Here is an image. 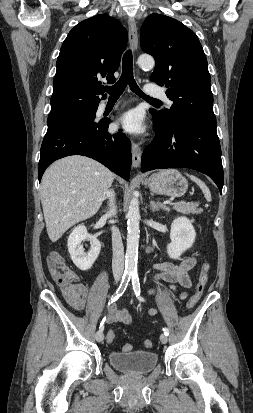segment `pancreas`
Returning a JSON list of instances; mask_svg holds the SVG:
<instances>
[{"instance_id":"1","label":"pancreas","mask_w":253,"mask_h":413,"mask_svg":"<svg viewBox=\"0 0 253 413\" xmlns=\"http://www.w3.org/2000/svg\"><path fill=\"white\" fill-rule=\"evenodd\" d=\"M172 208L177 212L183 214H199L202 212V209H199V203L197 202H176L172 204Z\"/></svg>"}]
</instances>
